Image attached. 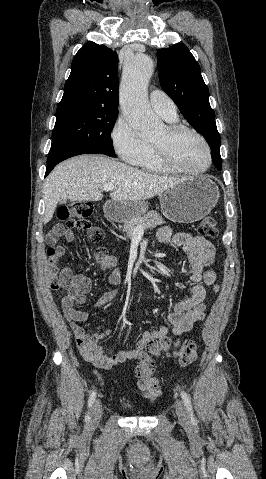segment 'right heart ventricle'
Masks as SVG:
<instances>
[{"label":"right heart ventricle","mask_w":266,"mask_h":479,"mask_svg":"<svg viewBox=\"0 0 266 479\" xmlns=\"http://www.w3.org/2000/svg\"><path fill=\"white\" fill-rule=\"evenodd\" d=\"M169 123H175V119H165ZM146 152L143 157L135 164L140 169L150 173L162 174L168 171L158 161L152 141H146Z\"/></svg>","instance_id":"e07e8e85"}]
</instances>
